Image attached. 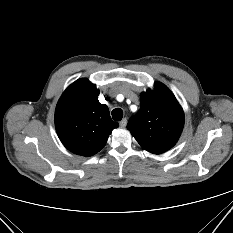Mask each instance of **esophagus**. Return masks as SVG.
<instances>
[{"instance_id": "obj_1", "label": "esophagus", "mask_w": 233, "mask_h": 233, "mask_svg": "<svg viewBox=\"0 0 233 233\" xmlns=\"http://www.w3.org/2000/svg\"><path fill=\"white\" fill-rule=\"evenodd\" d=\"M119 124H120V126L123 127V128L126 127V125H127V119H126V118H123V119L120 121Z\"/></svg>"}]
</instances>
